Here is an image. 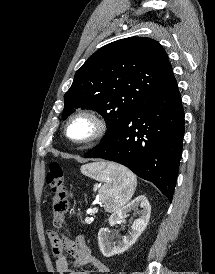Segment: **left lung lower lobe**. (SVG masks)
I'll return each mask as SVG.
<instances>
[{
    "label": "left lung lower lobe",
    "mask_w": 215,
    "mask_h": 274,
    "mask_svg": "<svg viewBox=\"0 0 215 274\" xmlns=\"http://www.w3.org/2000/svg\"><path fill=\"white\" fill-rule=\"evenodd\" d=\"M183 136L184 110L174 78L130 112L84 158L120 163L155 184L172 201Z\"/></svg>",
    "instance_id": "left-lung-lower-lobe-1"
}]
</instances>
